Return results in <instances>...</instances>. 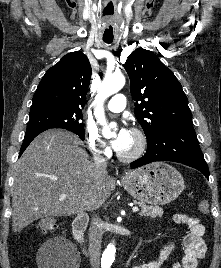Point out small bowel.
Masks as SVG:
<instances>
[{
	"label": "small bowel",
	"instance_id": "obj_1",
	"mask_svg": "<svg viewBox=\"0 0 221 268\" xmlns=\"http://www.w3.org/2000/svg\"><path fill=\"white\" fill-rule=\"evenodd\" d=\"M174 221L186 225L188 232L183 238L184 256L180 261L175 262L172 268H197L198 261L204 257L207 251L204 240L205 227L198 218L183 213L175 215ZM173 248L174 241L170 239L162 247L155 260L132 268H160L162 262L170 255Z\"/></svg>",
	"mask_w": 221,
	"mask_h": 268
}]
</instances>
